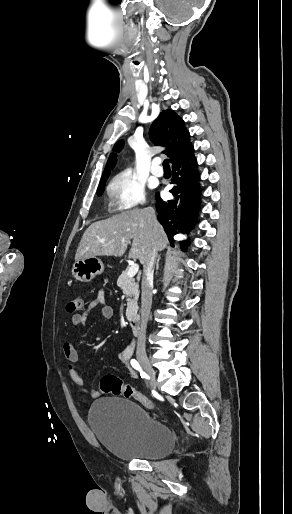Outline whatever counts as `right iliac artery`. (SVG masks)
<instances>
[{
  "mask_svg": "<svg viewBox=\"0 0 292 514\" xmlns=\"http://www.w3.org/2000/svg\"><path fill=\"white\" fill-rule=\"evenodd\" d=\"M132 367L136 370H138L140 372V375L142 378H147V374L142 370L141 366L139 365V363L137 362V360L135 359H132L130 361Z\"/></svg>",
  "mask_w": 292,
  "mask_h": 514,
  "instance_id": "82829eb1",
  "label": "right iliac artery"
}]
</instances>
